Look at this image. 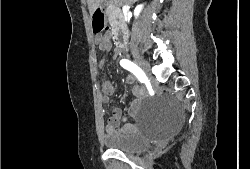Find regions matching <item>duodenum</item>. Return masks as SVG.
<instances>
[{
    "label": "duodenum",
    "mask_w": 250,
    "mask_h": 169,
    "mask_svg": "<svg viewBox=\"0 0 250 169\" xmlns=\"http://www.w3.org/2000/svg\"><path fill=\"white\" fill-rule=\"evenodd\" d=\"M112 14V38L117 46L125 47L128 45L130 38V32L127 25V21L124 18V15L121 10H117L114 13L112 12Z\"/></svg>",
    "instance_id": "1"
}]
</instances>
